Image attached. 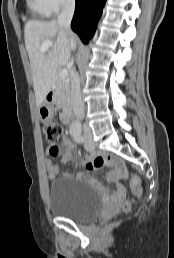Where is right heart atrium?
<instances>
[{
	"label": "right heart atrium",
	"instance_id": "d8ad5b80",
	"mask_svg": "<svg viewBox=\"0 0 174 258\" xmlns=\"http://www.w3.org/2000/svg\"><path fill=\"white\" fill-rule=\"evenodd\" d=\"M50 13H57L61 9L72 5L75 0H44Z\"/></svg>",
	"mask_w": 174,
	"mask_h": 258
}]
</instances>
